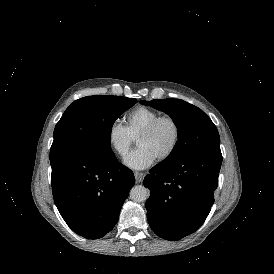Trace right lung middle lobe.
I'll list each match as a JSON object with an SVG mask.
<instances>
[{
  "label": "right lung middle lobe",
  "instance_id": "obj_1",
  "mask_svg": "<svg viewBox=\"0 0 274 274\" xmlns=\"http://www.w3.org/2000/svg\"><path fill=\"white\" fill-rule=\"evenodd\" d=\"M136 102L134 98L111 95L74 101L55 127L50 163L66 156L112 152V126Z\"/></svg>",
  "mask_w": 274,
  "mask_h": 274
}]
</instances>
